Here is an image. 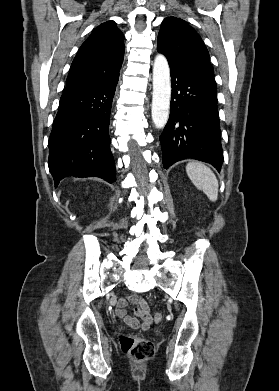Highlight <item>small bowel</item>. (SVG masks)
I'll return each mask as SVG.
<instances>
[{
    "label": "small bowel",
    "instance_id": "small-bowel-1",
    "mask_svg": "<svg viewBox=\"0 0 279 391\" xmlns=\"http://www.w3.org/2000/svg\"><path fill=\"white\" fill-rule=\"evenodd\" d=\"M128 303H132L137 306L135 309L137 318L131 317L127 314L125 307ZM116 314L125 322V324L134 329L146 330L152 324V316L147 303L135 294L129 295L126 299L119 300L116 307Z\"/></svg>",
    "mask_w": 279,
    "mask_h": 391
}]
</instances>
